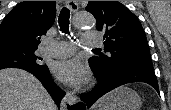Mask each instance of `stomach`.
Here are the masks:
<instances>
[{
    "label": "stomach",
    "instance_id": "1",
    "mask_svg": "<svg viewBox=\"0 0 171 110\" xmlns=\"http://www.w3.org/2000/svg\"><path fill=\"white\" fill-rule=\"evenodd\" d=\"M102 104L95 110H140L138 94L127 87H119L102 99Z\"/></svg>",
    "mask_w": 171,
    "mask_h": 110
}]
</instances>
